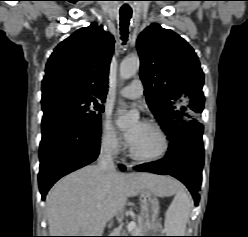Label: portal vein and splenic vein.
Masks as SVG:
<instances>
[{"instance_id": "obj_1", "label": "portal vein and splenic vein", "mask_w": 248, "mask_h": 237, "mask_svg": "<svg viewBox=\"0 0 248 237\" xmlns=\"http://www.w3.org/2000/svg\"><path fill=\"white\" fill-rule=\"evenodd\" d=\"M136 227V223L134 221H131L128 223V231H132Z\"/></svg>"}]
</instances>
